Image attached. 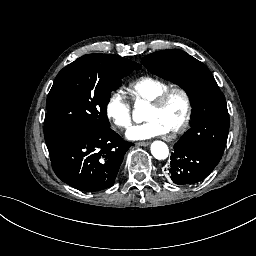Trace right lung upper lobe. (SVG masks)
Here are the masks:
<instances>
[{
  "instance_id": "1",
  "label": "right lung upper lobe",
  "mask_w": 256,
  "mask_h": 256,
  "mask_svg": "<svg viewBox=\"0 0 256 256\" xmlns=\"http://www.w3.org/2000/svg\"><path fill=\"white\" fill-rule=\"evenodd\" d=\"M90 55H92V54L84 55V56H82L81 58H85V57L90 56ZM103 55H112V54H103ZM114 56H116V55H114ZM118 57H119V56H118ZM121 58H122V57H121ZM124 60H129V59L124 58ZM132 63H133L134 65H139V64H137V63H135V62H133V61H132Z\"/></svg>"
}]
</instances>
